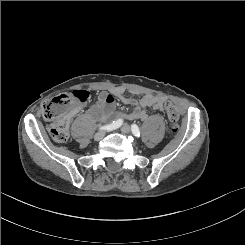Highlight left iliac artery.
<instances>
[{
  "label": "left iliac artery",
  "instance_id": "1",
  "mask_svg": "<svg viewBox=\"0 0 245 245\" xmlns=\"http://www.w3.org/2000/svg\"><path fill=\"white\" fill-rule=\"evenodd\" d=\"M131 130H132V133L134 134V136L140 137L141 132L139 130V127L136 124L131 125Z\"/></svg>",
  "mask_w": 245,
  "mask_h": 245
}]
</instances>
